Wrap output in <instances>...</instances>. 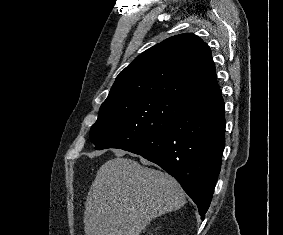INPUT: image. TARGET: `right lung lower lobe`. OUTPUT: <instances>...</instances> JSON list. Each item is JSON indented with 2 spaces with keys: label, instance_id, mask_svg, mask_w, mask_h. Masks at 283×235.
Segmentation results:
<instances>
[{
  "label": "right lung lower lobe",
  "instance_id": "right-lung-lower-lobe-1",
  "mask_svg": "<svg viewBox=\"0 0 283 235\" xmlns=\"http://www.w3.org/2000/svg\"><path fill=\"white\" fill-rule=\"evenodd\" d=\"M225 147L224 101L219 88L192 98L162 131L123 150L139 154L172 175L207 212Z\"/></svg>",
  "mask_w": 283,
  "mask_h": 235
}]
</instances>
